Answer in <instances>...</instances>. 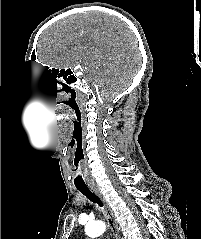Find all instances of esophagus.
<instances>
[{
	"label": "esophagus",
	"mask_w": 201,
	"mask_h": 239,
	"mask_svg": "<svg viewBox=\"0 0 201 239\" xmlns=\"http://www.w3.org/2000/svg\"><path fill=\"white\" fill-rule=\"evenodd\" d=\"M90 188L96 194V196L101 200V202L103 204L104 216L106 218V221H107L113 235L115 236V239H121L120 233H119V227L116 222L114 213H113L112 209L110 208L109 204L107 203L105 197L103 196V194L101 193L100 189L97 186H91Z\"/></svg>",
	"instance_id": "esophagus-1"
}]
</instances>
